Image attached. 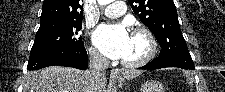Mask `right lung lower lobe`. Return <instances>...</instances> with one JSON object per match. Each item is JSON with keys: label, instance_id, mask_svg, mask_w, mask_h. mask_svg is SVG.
<instances>
[{"label": "right lung lower lobe", "instance_id": "right-lung-lower-lobe-1", "mask_svg": "<svg viewBox=\"0 0 225 92\" xmlns=\"http://www.w3.org/2000/svg\"><path fill=\"white\" fill-rule=\"evenodd\" d=\"M53 65L86 69L88 55L84 44L78 47H64L30 54L27 69L36 70Z\"/></svg>", "mask_w": 225, "mask_h": 92}]
</instances>
